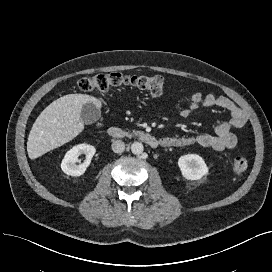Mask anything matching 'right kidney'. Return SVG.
<instances>
[{
	"label": "right kidney",
	"instance_id": "1",
	"mask_svg": "<svg viewBox=\"0 0 272 272\" xmlns=\"http://www.w3.org/2000/svg\"><path fill=\"white\" fill-rule=\"evenodd\" d=\"M96 149L94 146L89 144H79L74 146L72 149L67 151L62 163V171L70 176H81L85 173L87 167L89 166L92 157L94 156ZM82 154L86 155V161L79 165L76 164L78 157Z\"/></svg>",
	"mask_w": 272,
	"mask_h": 272
}]
</instances>
